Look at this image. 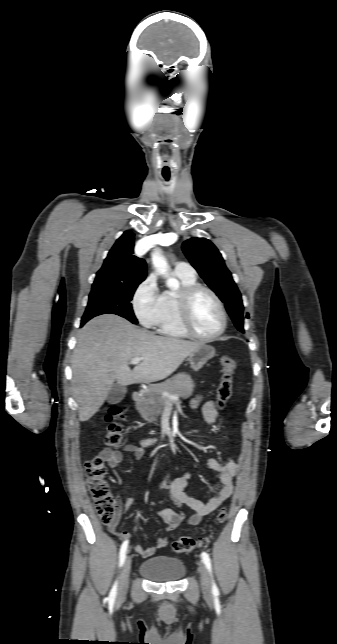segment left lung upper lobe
Wrapping results in <instances>:
<instances>
[{
    "instance_id": "obj_1",
    "label": "left lung upper lobe",
    "mask_w": 337,
    "mask_h": 644,
    "mask_svg": "<svg viewBox=\"0 0 337 644\" xmlns=\"http://www.w3.org/2000/svg\"><path fill=\"white\" fill-rule=\"evenodd\" d=\"M182 249L206 284L225 303L226 310L236 328L244 332V308L241 294L218 249L205 238L186 240Z\"/></svg>"
}]
</instances>
